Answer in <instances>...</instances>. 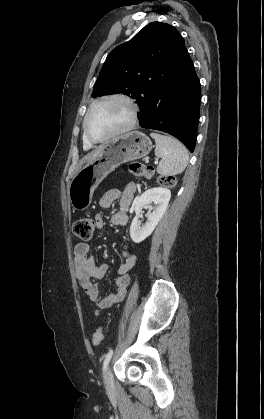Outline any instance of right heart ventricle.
Instances as JSON below:
<instances>
[{"instance_id":"right-heart-ventricle-1","label":"right heart ventricle","mask_w":264,"mask_h":419,"mask_svg":"<svg viewBox=\"0 0 264 419\" xmlns=\"http://www.w3.org/2000/svg\"><path fill=\"white\" fill-rule=\"evenodd\" d=\"M83 146H84V148L85 149H90L91 147H92V144L91 143H89L86 139H85V137H84V139H83Z\"/></svg>"}]
</instances>
